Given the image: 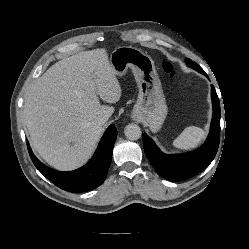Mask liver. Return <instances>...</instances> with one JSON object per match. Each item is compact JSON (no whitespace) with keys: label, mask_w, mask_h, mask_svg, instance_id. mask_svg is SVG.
Segmentation results:
<instances>
[{"label":"liver","mask_w":249,"mask_h":249,"mask_svg":"<svg viewBox=\"0 0 249 249\" xmlns=\"http://www.w3.org/2000/svg\"><path fill=\"white\" fill-rule=\"evenodd\" d=\"M121 87L106 49L80 52L52 65L26 94L24 123L33 149L57 170H74L90 158L102 134L101 115L114 108Z\"/></svg>","instance_id":"1"}]
</instances>
